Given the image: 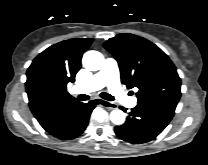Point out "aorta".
Instances as JSON below:
<instances>
[{"instance_id": "aorta-1", "label": "aorta", "mask_w": 208, "mask_h": 165, "mask_svg": "<svg viewBox=\"0 0 208 165\" xmlns=\"http://www.w3.org/2000/svg\"><path fill=\"white\" fill-rule=\"evenodd\" d=\"M104 62L103 55L98 51H87L83 55V66L91 71L100 70ZM110 119L115 125H121L125 121V113L120 109H114L110 113Z\"/></svg>"}]
</instances>
